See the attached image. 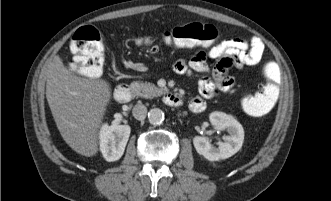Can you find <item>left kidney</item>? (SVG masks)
I'll return each instance as SVG.
<instances>
[{
	"label": "left kidney",
	"instance_id": "left-kidney-1",
	"mask_svg": "<svg viewBox=\"0 0 331 201\" xmlns=\"http://www.w3.org/2000/svg\"><path fill=\"white\" fill-rule=\"evenodd\" d=\"M209 118L212 125L220 130H227L229 135L224 136V142H219L218 147H214L206 137L195 136L193 144L197 153L209 161H219L233 156L241 149L244 141L242 125L232 116L222 112H213Z\"/></svg>",
	"mask_w": 331,
	"mask_h": 201
}]
</instances>
